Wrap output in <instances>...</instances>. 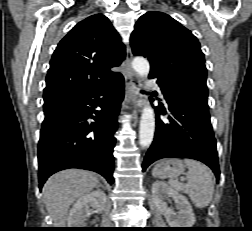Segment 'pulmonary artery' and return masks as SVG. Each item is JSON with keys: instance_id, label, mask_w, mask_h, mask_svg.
<instances>
[{"instance_id": "pulmonary-artery-1", "label": "pulmonary artery", "mask_w": 252, "mask_h": 231, "mask_svg": "<svg viewBox=\"0 0 252 231\" xmlns=\"http://www.w3.org/2000/svg\"><path fill=\"white\" fill-rule=\"evenodd\" d=\"M146 84H147L148 86L154 88V89L159 93V95L163 98V93H162V90H161L160 86L158 85V83H155V82H153V81H151V80H148V81L146 82Z\"/></svg>"}]
</instances>
